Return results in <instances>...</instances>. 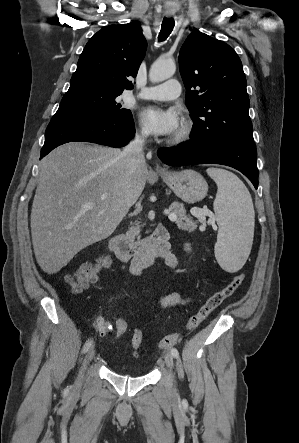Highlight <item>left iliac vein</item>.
I'll return each mask as SVG.
<instances>
[{"mask_svg": "<svg viewBox=\"0 0 299 443\" xmlns=\"http://www.w3.org/2000/svg\"><path fill=\"white\" fill-rule=\"evenodd\" d=\"M165 363L168 366V368L172 371L173 370V365H174V361H173V356L171 354H166L165 355ZM172 377H174V373L172 372Z\"/></svg>", "mask_w": 299, "mask_h": 443, "instance_id": "left-iliac-vein-1", "label": "left iliac vein"}]
</instances>
